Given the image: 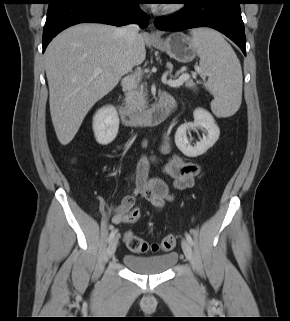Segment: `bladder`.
I'll return each instance as SVG.
<instances>
[{"label":"bladder","instance_id":"obj_1","mask_svg":"<svg viewBox=\"0 0 290 321\" xmlns=\"http://www.w3.org/2000/svg\"><path fill=\"white\" fill-rule=\"evenodd\" d=\"M178 254L174 251L160 255L137 256L126 254L124 265L132 272L140 275H160L171 269L177 262Z\"/></svg>","mask_w":290,"mask_h":321}]
</instances>
